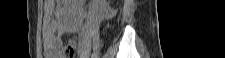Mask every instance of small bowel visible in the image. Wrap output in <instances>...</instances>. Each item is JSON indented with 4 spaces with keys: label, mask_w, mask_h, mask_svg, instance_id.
<instances>
[{
    "label": "small bowel",
    "mask_w": 225,
    "mask_h": 58,
    "mask_svg": "<svg viewBox=\"0 0 225 58\" xmlns=\"http://www.w3.org/2000/svg\"><path fill=\"white\" fill-rule=\"evenodd\" d=\"M54 3L49 1L45 5V17L43 27V47L44 52L48 57H63L60 54L63 41L62 35L66 32L67 28L57 22L52 16Z\"/></svg>",
    "instance_id": "obj_1"
}]
</instances>
